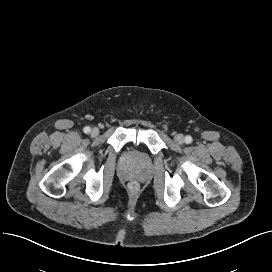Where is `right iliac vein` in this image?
I'll list each match as a JSON object with an SVG mask.
<instances>
[{
  "label": "right iliac vein",
  "mask_w": 272,
  "mask_h": 272,
  "mask_svg": "<svg viewBox=\"0 0 272 272\" xmlns=\"http://www.w3.org/2000/svg\"><path fill=\"white\" fill-rule=\"evenodd\" d=\"M99 135V129L98 128H93L92 130H91V136L92 137H96V136H98Z\"/></svg>",
  "instance_id": "1"
}]
</instances>
